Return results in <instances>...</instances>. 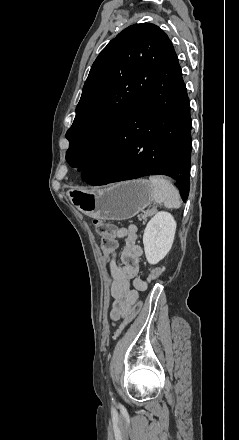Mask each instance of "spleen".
Instances as JSON below:
<instances>
[{
  "mask_svg": "<svg viewBox=\"0 0 239 440\" xmlns=\"http://www.w3.org/2000/svg\"><path fill=\"white\" fill-rule=\"evenodd\" d=\"M153 188V200L157 204H164L165 208H180V194L164 176H150L149 178Z\"/></svg>",
  "mask_w": 239,
  "mask_h": 440,
  "instance_id": "obj_1",
  "label": "spleen"
}]
</instances>
